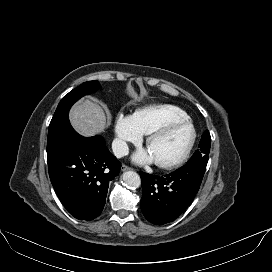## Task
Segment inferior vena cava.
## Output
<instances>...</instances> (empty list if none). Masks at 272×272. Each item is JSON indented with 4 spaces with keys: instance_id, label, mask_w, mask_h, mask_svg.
I'll use <instances>...</instances> for the list:
<instances>
[{
    "instance_id": "obj_1",
    "label": "inferior vena cava",
    "mask_w": 272,
    "mask_h": 272,
    "mask_svg": "<svg viewBox=\"0 0 272 272\" xmlns=\"http://www.w3.org/2000/svg\"><path fill=\"white\" fill-rule=\"evenodd\" d=\"M112 150L113 154L117 158H121L123 156H126L129 153L128 145L125 141L121 139H114L112 142Z\"/></svg>"
}]
</instances>
